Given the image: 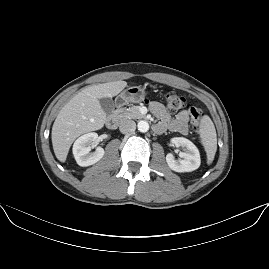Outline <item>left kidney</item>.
I'll return each mask as SVG.
<instances>
[{
  "label": "left kidney",
  "instance_id": "5707ae66",
  "mask_svg": "<svg viewBox=\"0 0 269 269\" xmlns=\"http://www.w3.org/2000/svg\"><path fill=\"white\" fill-rule=\"evenodd\" d=\"M171 143L176 147H183L184 152L179 156L183 159L176 160L172 153L166 155L168 166L176 172H191L199 168L201 159L198 148L188 139L183 137H174Z\"/></svg>",
  "mask_w": 269,
  "mask_h": 269
}]
</instances>
